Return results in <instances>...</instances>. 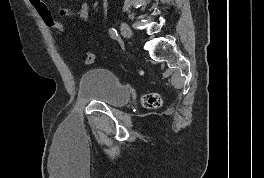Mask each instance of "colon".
Here are the masks:
<instances>
[{
	"instance_id": "5ec220e1",
	"label": "colon",
	"mask_w": 264,
	"mask_h": 178,
	"mask_svg": "<svg viewBox=\"0 0 264 178\" xmlns=\"http://www.w3.org/2000/svg\"><path fill=\"white\" fill-rule=\"evenodd\" d=\"M31 5L35 9L36 13L43 21V23L52 29H56L60 32H64V27L59 20H57L52 11L50 10L49 6L44 2V0H30ZM96 60V55L94 53H86L84 56V63L85 64H92ZM142 103L144 107L150 109H157L161 107L162 100L160 96L156 93H149L145 95L142 99Z\"/></svg>"
}]
</instances>
